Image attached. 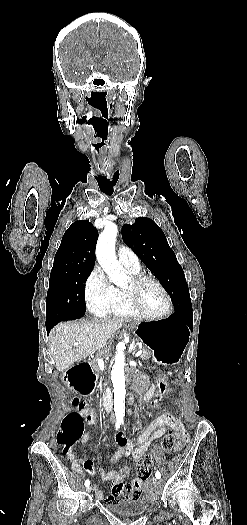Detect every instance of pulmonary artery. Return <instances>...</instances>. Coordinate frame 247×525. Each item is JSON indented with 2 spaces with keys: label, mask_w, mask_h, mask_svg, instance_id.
I'll return each instance as SVG.
<instances>
[{
  "label": "pulmonary artery",
  "mask_w": 247,
  "mask_h": 525,
  "mask_svg": "<svg viewBox=\"0 0 247 525\" xmlns=\"http://www.w3.org/2000/svg\"><path fill=\"white\" fill-rule=\"evenodd\" d=\"M117 255L123 264L131 265L137 261L135 253L126 245L120 244L117 247Z\"/></svg>",
  "instance_id": "pulmonary-artery-1"
}]
</instances>
